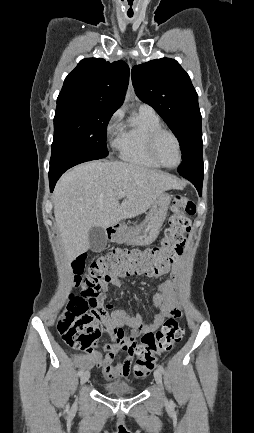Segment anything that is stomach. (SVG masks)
<instances>
[{
  "instance_id": "obj_1",
  "label": "stomach",
  "mask_w": 254,
  "mask_h": 433,
  "mask_svg": "<svg viewBox=\"0 0 254 433\" xmlns=\"http://www.w3.org/2000/svg\"><path fill=\"white\" fill-rule=\"evenodd\" d=\"M172 195L163 192L152 204L145 220L137 226L116 228L110 233V241L128 245H148L156 240L167 216Z\"/></svg>"
}]
</instances>
